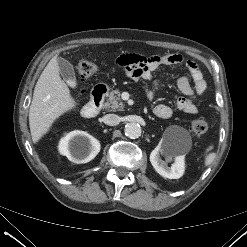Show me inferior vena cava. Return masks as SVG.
I'll list each match as a JSON object with an SVG mask.
<instances>
[{
    "label": "inferior vena cava",
    "mask_w": 247,
    "mask_h": 247,
    "mask_svg": "<svg viewBox=\"0 0 247 247\" xmlns=\"http://www.w3.org/2000/svg\"><path fill=\"white\" fill-rule=\"evenodd\" d=\"M103 122L110 126H115L120 123V117L116 114H107L103 117Z\"/></svg>",
    "instance_id": "1"
}]
</instances>
